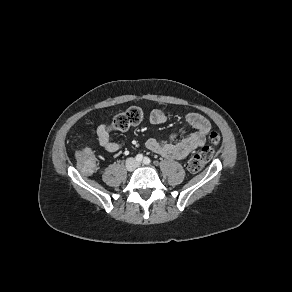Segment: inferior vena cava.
<instances>
[{
    "instance_id": "inferior-vena-cava-1",
    "label": "inferior vena cava",
    "mask_w": 292,
    "mask_h": 292,
    "mask_svg": "<svg viewBox=\"0 0 292 292\" xmlns=\"http://www.w3.org/2000/svg\"><path fill=\"white\" fill-rule=\"evenodd\" d=\"M138 165L139 163L132 157L126 160V167L128 170H132L136 168Z\"/></svg>"
}]
</instances>
